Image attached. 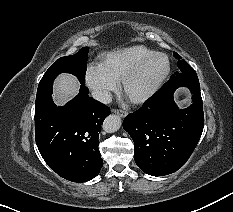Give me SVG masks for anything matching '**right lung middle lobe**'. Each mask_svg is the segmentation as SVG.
Masks as SVG:
<instances>
[{"instance_id":"right-lung-middle-lobe-1","label":"right lung middle lobe","mask_w":233,"mask_h":212,"mask_svg":"<svg viewBox=\"0 0 233 212\" xmlns=\"http://www.w3.org/2000/svg\"><path fill=\"white\" fill-rule=\"evenodd\" d=\"M89 47L81 48L76 54L59 58L42 77L36 95V105L52 93L54 79L61 73H72L85 82L86 63Z\"/></svg>"}]
</instances>
